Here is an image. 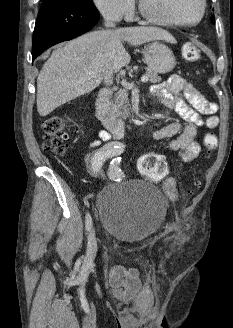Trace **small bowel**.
<instances>
[{"label":"small bowel","instance_id":"1","mask_svg":"<svg viewBox=\"0 0 233 328\" xmlns=\"http://www.w3.org/2000/svg\"><path fill=\"white\" fill-rule=\"evenodd\" d=\"M152 95L165 107L175 111L187 123H170L153 133L155 140H169L168 146L176 151L183 162H190L198 157L201 145L197 140V128L213 129L217 127L219 118L216 115L218 106L207 100L200 90L187 79L172 75L165 82L151 87ZM202 116H207L203 118ZM112 135L107 131H100L99 140L92 142L97 146L101 141H109ZM163 190L166 196L175 201L178 197L176 181L172 177L165 179ZM108 282L113 295L122 301L134 298L142 289L138 271L116 265L108 274Z\"/></svg>","mask_w":233,"mask_h":328}]
</instances>
